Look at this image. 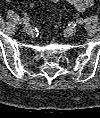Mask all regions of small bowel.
<instances>
[{
	"label": "small bowel",
	"instance_id": "obj_1",
	"mask_svg": "<svg viewBox=\"0 0 100 118\" xmlns=\"http://www.w3.org/2000/svg\"><path fill=\"white\" fill-rule=\"evenodd\" d=\"M10 2L11 0H4ZM53 3H57L62 0H50ZM70 5L74 6L78 11H84L91 8L94 5V0H63Z\"/></svg>",
	"mask_w": 100,
	"mask_h": 118
}]
</instances>
